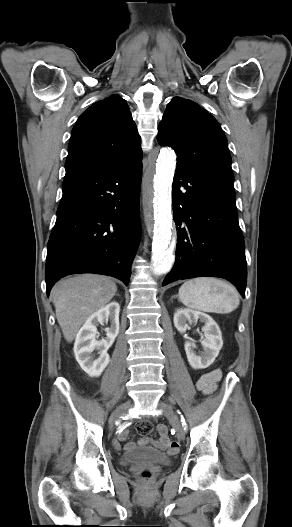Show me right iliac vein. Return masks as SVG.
I'll use <instances>...</instances> for the list:
<instances>
[{"instance_id":"right-iliac-vein-1","label":"right iliac vein","mask_w":292,"mask_h":527,"mask_svg":"<svg viewBox=\"0 0 292 527\" xmlns=\"http://www.w3.org/2000/svg\"><path fill=\"white\" fill-rule=\"evenodd\" d=\"M131 407V404L130 403H124L122 404L121 406H119L114 412L113 414L111 415L110 417V421H109V424H110V427H113L114 423L116 422V420L120 417H122L125 412Z\"/></svg>"}]
</instances>
